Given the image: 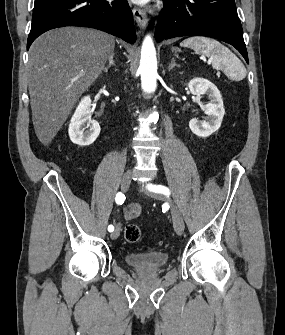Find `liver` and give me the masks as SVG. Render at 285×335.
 <instances>
[{
	"instance_id": "liver-1",
	"label": "liver",
	"mask_w": 285,
	"mask_h": 335,
	"mask_svg": "<svg viewBox=\"0 0 285 335\" xmlns=\"http://www.w3.org/2000/svg\"><path fill=\"white\" fill-rule=\"evenodd\" d=\"M115 48L114 36L91 28L45 32L28 54V86L35 134L48 146L81 94L102 74Z\"/></svg>"
}]
</instances>
